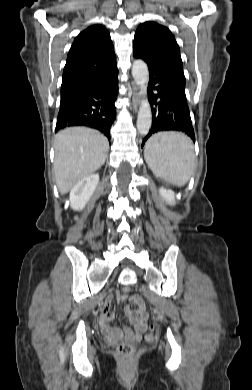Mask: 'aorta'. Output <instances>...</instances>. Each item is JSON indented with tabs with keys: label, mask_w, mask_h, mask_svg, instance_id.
Returning a JSON list of instances; mask_svg holds the SVG:
<instances>
[{
	"label": "aorta",
	"mask_w": 252,
	"mask_h": 390,
	"mask_svg": "<svg viewBox=\"0 0 252 390\" xmlns=\"http://www.w3.org/2000/svg\"><path fill=\"white\" fill-rule=\"evenodd\" d=\"M132 76L140 89V94L143 96L137 117V129L141 135H146L151 127L152 113L150 104L147 99V86L149 80V72L146 63L142 60H136L132 65Z\"/></svg>",
	"instance_id": "obj_1"
}]
</instances>
